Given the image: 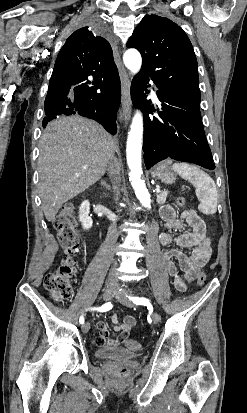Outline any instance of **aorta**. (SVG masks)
Returning a JSON list of instances; mask_svg holds the SVG:
<instances>
[{
    "mask_svg": "<svg viewBox=\"0 0 247 413\" xmlns=\"http://www.w3.org/2000/svg\"><path fill=\"white\" fill-rule=\"evenodd\" d=\"M124 64L127 69L137 74L142 65V58L136 49H129L123 56ZM143 138V117L140 111H136L127 139L126 154L129 167V176L135 195L140 203L146 207H151L150 194L142 178L141 151Z\"/></svg>",
    "mask_w": 247,
    "mask_h": 413,
    "instance_id": "1",
    "label": "aorta"
}]
</instances>
